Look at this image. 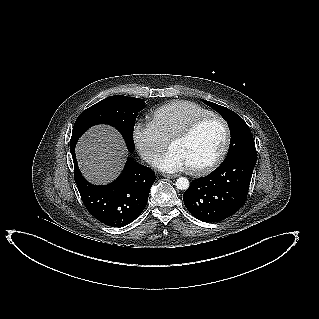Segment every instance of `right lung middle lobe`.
I'll return each instance as SVG.
<instances>
[{
  "label": "right lung middle lobe",
  "instance_id": "dd1d6c3e",
  "mask_svg": "<svg viewBox=\"0 0 319 319\" xmlns=\"http://www.w3.org/2000/svg\"><path fill=\"white\" fill-rule=\"evenodd\" d=\"M145 107L140 98L115 95L94 104L83 111L77 118L70 143L78 138L91 126L109 124L123 135L129 151H134L133 129L138 112Z\"/></svg>",
  "mask_w": 319,
  "mask_h": 319
}]
</instances>
